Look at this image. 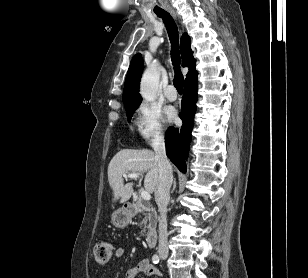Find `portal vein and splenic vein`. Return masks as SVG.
Here are the masks:
<instances>
[{
  "instance_id": "obj_1",
  "label": "portal vein and splenic vein",
  "mask_w": 308,
  "mask_h": 278,
  "mask_svg": "<svg viewBox=\"0 0 308 278\" xmlns=\"http://www.w3.org/2000/svg\"><path fill=\"white\" fill-rule=\"evenodd\" d=\"M123 177L124 178H134V179H137V178H139V174H137V173H125V174H123ZM141 197L144 200H150L151 199L150 193L148 191H146V190H142L141 191Z\"/></svg>"
}]
</instances>
